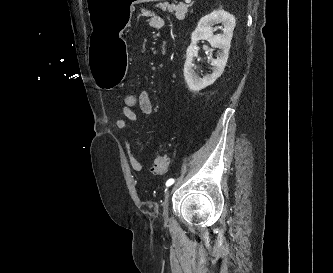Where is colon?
Masks as SVG:
<instances>
[{"instance_id": "colon-1", "label": "colon", "mask_w": 333, "mask_h": 273, "mask_svg": "<svg viewBox=\"0 0 333 273\" xmlns=\"http://www.w3.org/2000/svg\"><path fill=\"white\" fill-rule=\"evenodd\" d=\"M138 95L130 93L124 97V107L133 109L137 107ZM169 167V158L165 155H159L154 159L152 164V172L155 174H163L167 171Z\"/></svg>"}]
</instances>
